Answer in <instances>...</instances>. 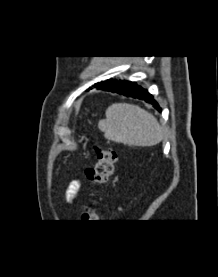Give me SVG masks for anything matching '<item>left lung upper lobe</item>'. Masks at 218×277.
I'll list each match as a JSON object with an SVG mask.
<instances>
[{"mask_svg": "<svg viewBox=\"0 0 218 277\" xmlns=\"http://www.w3.org/2000/svg\"><path fill=\"white\" fill-rule=\"evenodd\" d=\"M103 82H104V81H101V82L95 84V86H97V85H99V84H101V83H103ZM89 89H91V87H90Z\"/></svg>", "mask_w": 218, "mask_h": 277, "instance_id": "left-lung-upper-lobe-1", "label": "left lung upper lobe"}]
</instances>
